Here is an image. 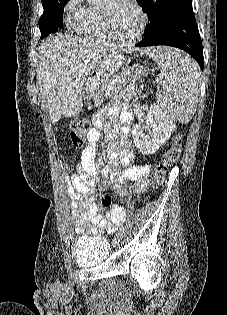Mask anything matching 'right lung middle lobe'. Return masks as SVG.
Returning a JSON list of instances; mask_svg holds the SVG:
<instances>
[{
	"label": "right lung middle lobe",
	"mask_w": 227,
	"mask_h": 315,
	"mask_svg": "<svg viewBox=\"0 0 227 315\" xmlns=\"http://www.w3.org/2000/svg\"><path fill=\"white\" fill-rule=\"evenodd\" d=\"M69 0H47L42 2L44 12L39 18L41 38L55 33L63 26L64 6Z\"/></svg>",
	"instance_id": "1"
}]
</instances>
